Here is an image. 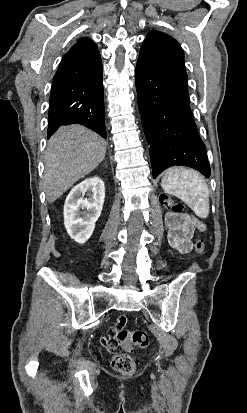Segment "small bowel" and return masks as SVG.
Here are the masks:
<instances>
[{
  "label": "small bowel",
  "instance_id": "1",
  "mask_svg": "<svg viewBox=\"0 0 247 413\" xmlns=\"http://www.w3.org/2000/svg\"><path fill=\"white\" fill-rule=\"evenodd\" d=\"M166 223L169 228L168 241L170 246L182 254L190 252L193 248L191 241L193 228L204 230V225L200 221L191 219L188 222L179 223L172 213L167 216ZM128 322L129 317L127 315H119L117 322L113 324V329H107L105 334L101 336V347L109 349L111 355H118L120 353V348L116 346L113 340L116 335L115 331H123L125 324Z\"/></svg>",
  "mask_w": 247,
  "mask_h": 413
}]
</instances>
